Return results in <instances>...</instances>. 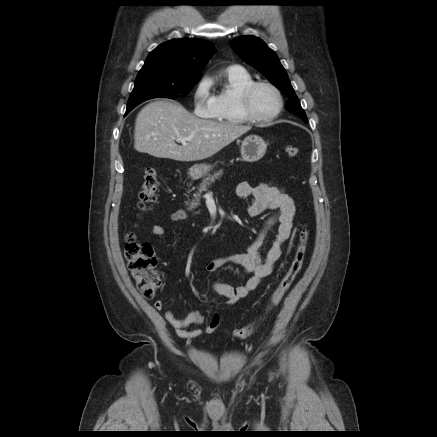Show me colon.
Segmentation results:
<instances>
[{
	"label": "colon",
	"instance_id": "5ec220e1",
	"mask_svg": "<svg viewBox=\"0 0 437 437\" xmlns=\"http://www.w3.org/2000/svg\"><path fill=\"white\" fill-rule=\"evenodd\" d=\"M285 155L293 158L298 154V148L287 145ZM157 171L154 167H147L143 174L139 192L138 209L147 212L156 201L158 189ZM309 239V231L302 229L299 234V243L291 264L280 280L278 286L270 295L259 315L248 325L235 329L232 336L236 339H245L251 335L266 319L271 310L275 308L290 289L294 280L302 270ZM124 254L129 271L136 282L137 288L145 298H152L162 284V273L158 268L154 250L149 243L141 241L138 236L130 232L126 235Z\"/></svg>",
	"mask_w": 437,
	"mask_h": 437
}]
</instances>
